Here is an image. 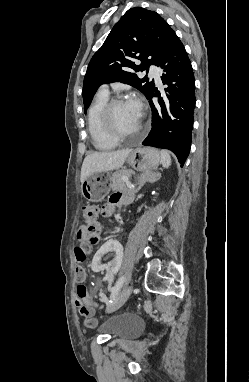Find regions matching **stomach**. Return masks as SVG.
Returning <instances> with one entry per match:
<instances>
[{
    "label": "stomach",
    "mask_w": 249,
    "mask_h": 382,
    "mask_svg": "<svg viewBox=\"0 0 249 382\" xmlns=\"http://www.w3.org/2000/svg\"><path fill=\"white\" fill-rule=\"evenodd\" d=\"M128 164L136 170L151 172L161 163L160 152L151 147H138L128 155ZM110 175L96 172L89 175L81 185L82 195L91 202H100L110 191Z\"/></svg>",
    "instance_id": "0dacf381"
}]
</instances>
